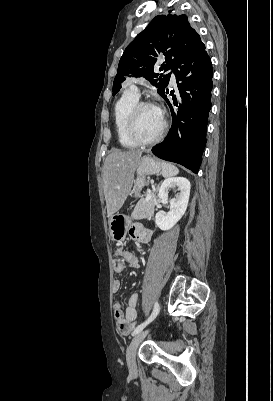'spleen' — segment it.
Masks as SVG:
<instances>
[{
	"label": "spleen",
	"instance_id": "1",
	"mask_svg": "<svg viewBox=\"0 0 273 401\" xmlns=\"http://www.w3.org/2000/svg\"><path fill=\"white\" fill-rule=\"evenodd\" d=\"M162 164V174L163 176H175V174H178L179 170L177 166H174V164H171V162H161Z\"/></svg>",
	"mask_w": 273,
	"mask_h": 401
}]
</instances>
